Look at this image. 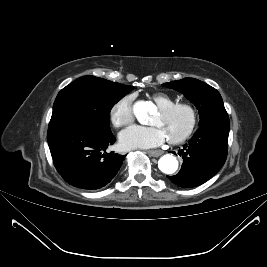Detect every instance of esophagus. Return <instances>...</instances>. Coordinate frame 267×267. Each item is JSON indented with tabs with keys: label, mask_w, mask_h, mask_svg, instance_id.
<instances>
[{
	"label": "esophagus",
	"mask_w": 267,
	"mask_h": 267,
	"mask_svg": "<svg viewBox=\"0 0 267 267\" xmlns=\"http://www.w3.org/2000/svg\"><path fill=\"white\" fill-rule=\"evenodd\" d=\"M148 154L153 157H158L163 154V151L162 150H150L148 151Z\"/></svg>",
	"instance_id": "1"
}]
</instances>
